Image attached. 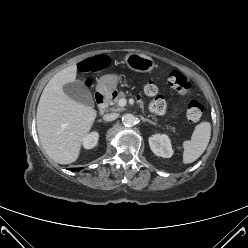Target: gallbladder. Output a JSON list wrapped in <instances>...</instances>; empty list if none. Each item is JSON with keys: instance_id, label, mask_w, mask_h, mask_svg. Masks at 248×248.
<instances>
[{"instance_id": "bac80fb5", "label": "gallbladder", "mask_w": 248, "mask_h": 248, "mask_svg": "<svg viewBox=\"0 0 248 248\" xmlns=\"http://www.w3.org/2000/svg\"><path fill=\"white\" fill-rule=\"evenodd\" d=\"M63 91L70 99L88 106H93L92 95L82 81L76 80L65 84Z\"/></svg>"}]
</instances>
